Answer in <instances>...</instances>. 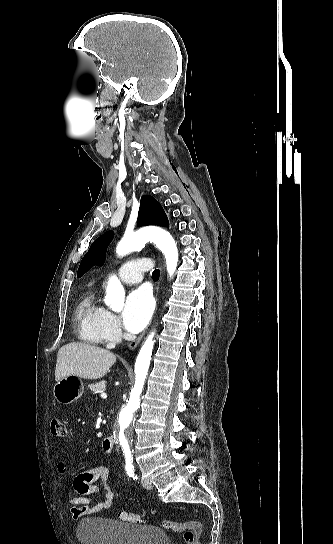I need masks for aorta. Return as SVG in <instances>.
<instances>
[{"instance_id": "aorta-1", "label": "aorta", "mask_w": 333, "mask_h": 544, "mask_svg": "<svg viewBox=\"0 0 333 544\" xmlns=\"http://www.w3.org/2000/svg\"><path fill=\"white\" fill-rule=\"evenodd\" d=\"M147 242H153L165 256L167 271L170 276L176 270L178 264V249L172 236L158 227H145L132 234L125 235L118 243L116 253L125 256L133 251L141 249ZM125 291L120 280L111 276L106 288L104 302L113 311H121L124 306ZM154 332L144 342L135 362V384L131 389L127 405L121 410L117 424V440L121 445L125 456L131 458V445L133 440V428L131 425L133 413L140 405V395L147 377L151 355L153 350Z\"/></svg>"}]
</instances>
